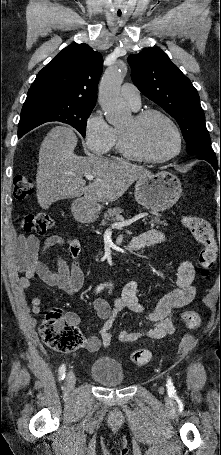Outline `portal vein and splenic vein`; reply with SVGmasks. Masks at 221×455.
<instances>
[{"label": "portal vein and splenic vein", "instance_id": "obj_1", "mask_svg": "<svg viewBox=\"0 0 221 455\" xmlns=\"http://www.w3.org/2000/svg\"><path fill=\"white\" fill-rule=\"evenodd\" d=\"M85 178L87 180H89V181H92V180H96L98 182L101 181L99 179H95L92 174H86ZM147 215H148L147 213H141V214H138V215L134 216L133 218H131L129 220H121L120 222H115V223L112 224V228H122L124 226L131 225L132 223L144 218Z\"/></svg>", "mask_w": 221, "mask_h": 455}]
</instances>
